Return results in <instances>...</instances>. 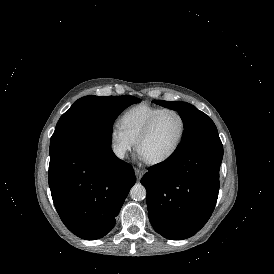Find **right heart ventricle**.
Masks as SVG:
<instances>
[{
    "label": "right heart ventricle",
    "mask_w": 274,
    "mask_h": 274,
    "mask_svg": "<svg viewBox=\"0 0 274 274\" xmlns=\"http://www.w3.org/2000/svg\"><path fill=\"white\" fill-rule=\"evenodd\" d=\"M161 110L162 108L149 104L135 105L122 113L119 125L135 141L147 123Z\"/></svg>",
    "instance_id": "obj_1"
}]
</instances>
